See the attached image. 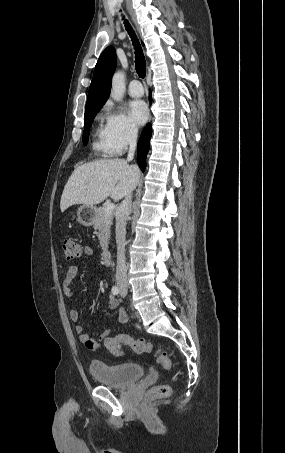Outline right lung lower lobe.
I'll return each mask as SVG.
<instances>
[{"label":"right lung lower lobe","mask_w":285,"mask_h":453,"mask_svg":"<svg viewBox=\"0 0 285 453\" xmlns=\"http://www.w3.org/2000/svg\"><path fill=\"white\" fill-rule=\"evenodd\" d=\"M152 134L151 124L148 123L143 130L137 145L138 165L142 171L146 168V156L149 150V142Z\"/></svg>","instance_id":"obj_1"}]
</instances>
